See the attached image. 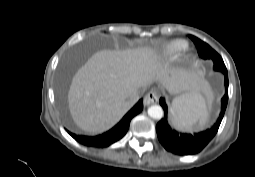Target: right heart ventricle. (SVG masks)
<instances>
[{
    "mask_svg": "<svg viewBox=\"0 0 255 177\" xmlns=\"http://www.w3.org/2000/svg\"><path fill=\"white\" fill-rule=\"evenodd\" d=\"M187 48V42L175 39L167 42L161 49V54L167 59H174Z\"/></svg>",
    "mask_w": 255,
    "mask_h": 177,
    "instance_id": "1",
    "label": "right heart ventricle"
}]
</instances>
